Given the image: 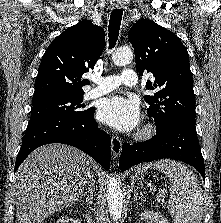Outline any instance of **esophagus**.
<instances>
[{
    "label": "esophagus",
    "instance_id": "esophagus-1",
    "mask_svg": "<svg viewBox=\"0 0 221 223\" xmlns=\"http://www.w3.org/2000/svg\"><path fill=\"white\" fill-rule=\"evenodd\" d=\"M113 6L116 9H123L124 3L121 1L115 2ZM121 150H122V141L118 137L113 136L111 139V151L114 158H117L120 155Z\"/></svg>",
    "mask_w": 221,
    "mask_h": 223
}]
</instances>
